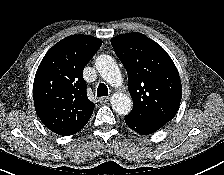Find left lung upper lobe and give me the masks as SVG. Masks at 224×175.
<instances>
[{"mask_svg":"<svg viewBox=\"0 0 224 175\" xmlns=\"http://www.w3.org/2000/svg\"><path fill=\"white\" fill-rule=\"evenodd\" d=\"M111 44L128 74L133 109L126 117L141 122L171 121L178 111L182 88L167 52L141 33L118 35Z\"/></svg>","mask_w":224,"mask_h":175,"instance_id":"5c2ea615","label":"left lung upper lobe"}]
</instances>
